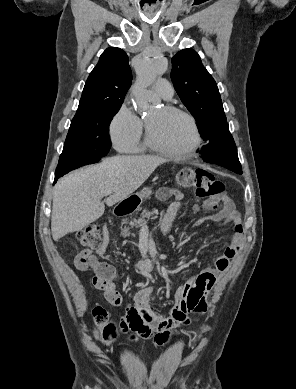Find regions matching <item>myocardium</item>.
Here are the masks:
<instances>
[{"instance_id":"f54148a6","label":"myocardium","mask_w":296,"mask_h":389,"mask_svg":"<svg viewBox=\"0 0 296 389\" xmlns=\"http://www.w3.org/2000/svg\"><path fill=\"white\" fill-rule=\"evenodd\" d=\"M163 109L168 113L181 115L189 121L191 128H192V132H193V140L190 143V145L183 150L168 149V148L163 147L155 142V140L153 139L152 133L150 131L149 125H148V123H146V142H147V145L152 150H154L160 154L172 157V158L185 159V158L191 157L197 151V149L199 148L201 141H202L201 132H200V129H199V126H198V123H197L195 117L191 113H189L188 111H186L182 108L173 106V105H166L163 107Z\"/></svg>"}]
</instances>
